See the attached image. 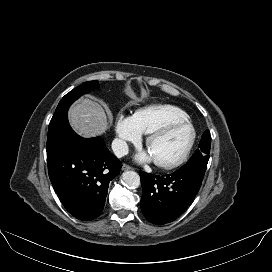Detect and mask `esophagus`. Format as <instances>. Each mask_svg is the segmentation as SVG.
<instances>
[{
  "instance_id": "obj_1",
  "label": "esophagus",
  "mask_w": 272,
  "mask_h": 272,
  "mask_svg": "<svg viewBox=\"0 0 272 272\" xmlns=\"http://www.w3.org/2000/svg\"><path fill=\"white\" fill-rule=\"evenodd\" d=\"M133 169H134L133 167H131V166L127 165V164H124V165L122 166V170H123V171H126V170H133Z\"/></svg>"
}]
</instances>
